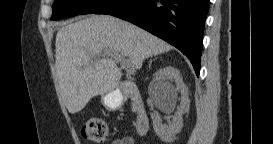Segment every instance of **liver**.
<instances>
[{"instance_id":"6515ba94","label":"liver","mask_w":273,"mask_h":144,"mask_svg":"<svg viewBox=\"0 0 273 144\" xmlns=\"http://www.w3.org/2000/svg\"><path fill=\"white\" fill-rule=\"evenodd\" d=\"M56 72L59 89L71 114L89 100L116 90L122 76L108 52L128 57L139 69L145 59L172 46L151 33L109 15H92L60 27L56 35Z\"/></svg>"}]
</instances>
